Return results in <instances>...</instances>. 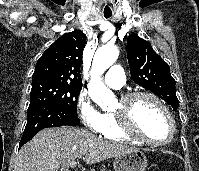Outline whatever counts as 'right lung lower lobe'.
I'll list each match as a JSON object with an SVG mask.
<instances>
[{
    "instance_id": "98d812e1",
    "label": "right lung lower lobe",
    "mask_w": 199,
    "mask_h": 171,
    "mask_svg": "<svg viewBox=\"0 0 199 171\" xmlns=\"http://www.w3.org/2000/svg\"><path fill=\"white\" fill-rule=\"evenodd\" d=\"M79 122L80 120L77 115H74L55 103L38 102L30 104L28 108L27 124L19 148L44 128L64 125L75 126Z\"/></svg>"
}]
</instances>
